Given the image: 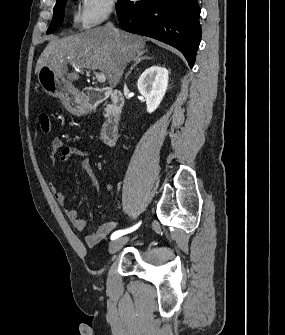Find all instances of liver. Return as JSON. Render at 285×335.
<instances>
[{"label": "liver", "instance_id": "obj_1", "mask_svg": "<svg viewBox=\"0 0 285 335\" xmlns=\"http://www.w3.org/2000/svg\"><path fill=\"white\" fill-rule=\"evenodd\" d=\"M144 48V38L100 26L61 40H50L37 62L35 72H39L42 66H50L61 74L67 64H72L75 70L67 74L69 84L79 80V74L86 68L90 72L100 70L105 74L110 88H116L126 66L136 60L138 54L147 52Z\"/></svg>", "mask_w": 285, "mask_h": 335}]
</instances>
